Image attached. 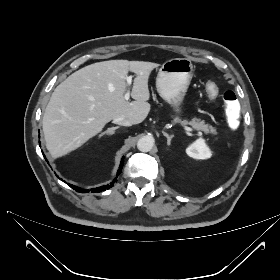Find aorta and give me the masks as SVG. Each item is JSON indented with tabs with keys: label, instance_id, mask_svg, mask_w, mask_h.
Here are the masks:
<instances>
[{
	"label": "aorta",
	"instance_id": "1",
	"mask_svg": "<svg viewBox=\"0 0 280 280\" xmlns=\"http://www.w3.org/2000/svg\"><path fill=\"white\" fill-rule=\"evenodd\" d=\"M154 146V138L143 136L137 141V148L141 152H149Z\"/></svg>",
	"mask_w": 280,
	"mask_h": 280
}]
</instances>
